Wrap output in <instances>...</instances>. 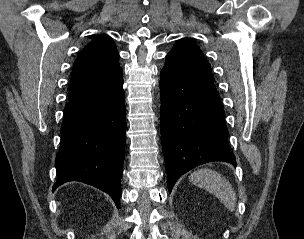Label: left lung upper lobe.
<instances>
[{"label": "left lung upper lobe", "mask_w": 304, "mask_h": 239, "mask_svg": "<svg viewBox=\"0 0 304 239\" xmlns=\"http://www.w3.org/2000/svg\"><path fill=\"white\" fill-rule=\"evenodd\" d=\"M178 59L187 69L214 81L211 67L201 50L191 41L182 39L167 54Z\"/></svg>", "instance_id": "5c2ea615"}]
</instances>
